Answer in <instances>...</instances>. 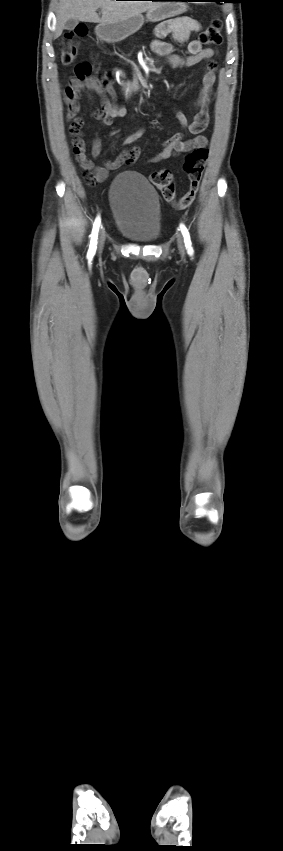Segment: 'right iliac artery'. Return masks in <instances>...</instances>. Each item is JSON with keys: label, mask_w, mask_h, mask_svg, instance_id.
Here are the masks:
<instances>
[{"label": "right iliac artery", "mask_w": 283, "mask_h": 851, "mask_svg": "<svg viewBox=\"0 0 283 851\" xmlns=\"http://www.w3.org/2000/svg\"><path fill=\"white\" fill-rule=\"evenodd\" d=\"M99 226H100V218L97 217L95 222H94V225H93L92 233L90 235L91 241H90V246H89V250H88V257H93L95 252H96Z\"/></svg>", "instance_id": "1"}]
</instances>
